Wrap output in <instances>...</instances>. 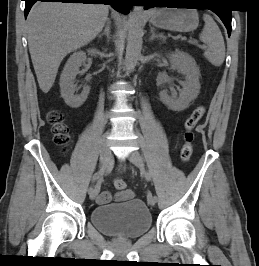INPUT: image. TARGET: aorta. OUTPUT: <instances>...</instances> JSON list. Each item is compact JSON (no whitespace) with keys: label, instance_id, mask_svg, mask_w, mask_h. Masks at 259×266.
I'll return each instance as SVG.
<instances>
[{"label":"aorta","instance_id":"762f6f07","mask_svg":"<svg viewBox=\"0 0 259 266\" xmlns=\"http://www.w3.org/2000/svg\"><path fill=\"white\" fill-rule=\"evenodd\" d=\"M141 7H134L128 20V39L125 55V68L127 73H130L137 65L138 59L141 56L142 49V21Z\"/></svg>","mask_w":259,"mask_h":266}]
</instances>
